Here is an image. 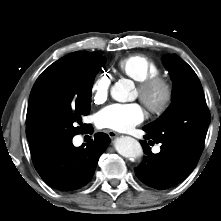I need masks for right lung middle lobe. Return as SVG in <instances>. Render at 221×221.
<instances>
[{"mask_svg":"<svg viewBox=\"0 0 221 221\" xmlns=\"http://www.w3.org/2000/svg\"><path fill=\"white\" fill-rule=\"evenodd\" d=\"M104 65L101 54L88 56L41 74L29 97L26 136L30 148L72 140L89 114L91 90Z\"/></svg>","mask_w":221,"mask_h":221,"instance_id":"1","label":"right lung middle lobe"}]
</instances>
